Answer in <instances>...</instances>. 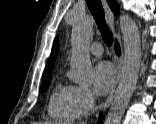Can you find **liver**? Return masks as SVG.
Here are the masks:
<instances>
[{"mask_svg": "<svg viewBox=\"0 0 156 124\" xmlns=\"http://www.w3.org/2000/svg\"><path fill=\"white\" fill-rule=\"evenodd\" d=\"M36 124H51V123H36Z\"/></svg>", "mask_w": 156, "mask_h": 124, "instance_id": "obj_1", "label": "liver"}]
</instances>
